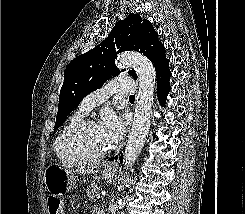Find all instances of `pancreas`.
I'll return each mask as SVG.
<instances>
[{
	"label": "pancreas",
	"instance_id": "obj_1",
	"mask_svg": "<svg viewBox=\"0 0 245 214\" xmlns=\"http://www.w3.org/2000/svg\"><path fill=\"white\" fill-rule=\"evenodd\" d=\"M100 188L96 184H91L87 190V196L90 200L95 201L96 198L100 197Z\"/></svg>",
	"mask_w": 245,
	"mask_h": 214
}]
</instances>
